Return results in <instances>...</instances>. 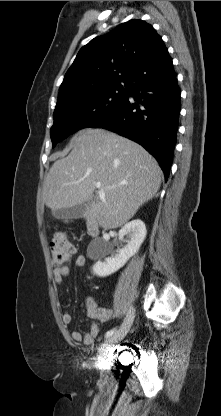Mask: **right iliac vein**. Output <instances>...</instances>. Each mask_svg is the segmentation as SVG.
<instances>
[{"label": "right iliac vein", "instance_id": "1", "mask_svg": "<svg viewBox=\"0 0 221 416\" xmlns=\"http://www.w3.org/2000/svg\"><path fill=\"white\" fill-rule=\"evenodd\" d=\"M134 317H135V310L134 308H131L129 312L127 313V316L123 324L121 325L120 329L116 331V333L112 337H110L108 340H106L101 346L100 354H99L100 357H102L106 353V351L108 350V348H110V346L121 341L126 336V334L128 333L133 323Z\"/></svg>", "mask_w": 221, "mask_h": 416}]
</instances>
